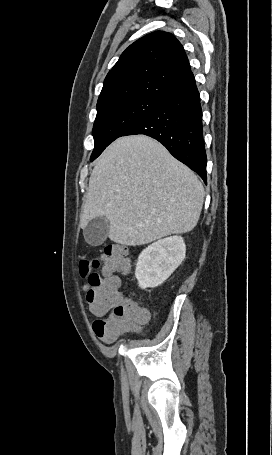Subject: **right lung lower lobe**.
Masks as SVG:
<instances>
[{"mask_svg": "<svg viewBox=\"0 0 272 455\" xmlns=\"http://www.w3.org/2000/svg\"><path fill=\"white\" fill-rule=\"evenodd\" d=\"M145 134L161 142L169 152L195 171L206 183L207 157L202 109L196 84L166 100L120 136Z\"/></svg>", "mask_w": 272, "mask_h": 455, "instance_id": "right-lung-lower-lobe-1", "label": "right lung lower lobe"}]
</instances>
